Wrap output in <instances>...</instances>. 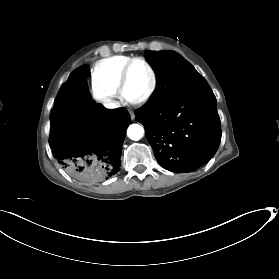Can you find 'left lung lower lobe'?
<instances>
[{"label": "left lung lower lobe", "mask_w": 279, "mask_h": 279, "mask_svg": "<svg viewBox=\"0 0 279 279\" xmlns=\"http://www.w3.org/2000/svg\"><path fill=\"white\" fill-rule=\"evenodd\" d=\"M135 115L166 170L191 172L218 149L221 129L216 98L204 78L160 106L140 107Z\"/></svg>", "instance_id": "0a47b994"}]
</instances>
